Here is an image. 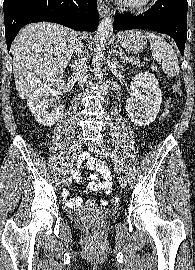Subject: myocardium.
I'll return each mask as SVG.
<instances>
[{
	"instance_id": "f54148a6",
	"label": "myocardium",
	"mask_w": 195,
	"mask_h": 270,
	"mask_svg": "<svg viewBox=\"0 0 195 270\" xmlns=\"http://www.w3.org/2000/svg\"><path fill=\"white\" fill-rule=\"evenodd\" d=\"M118 3L131 10H144L148 8L153 0H117Z\"/></svg>"
}]
</instances>
